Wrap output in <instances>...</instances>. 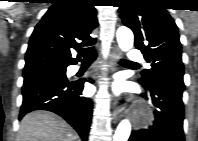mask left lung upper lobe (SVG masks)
Returning a JSON list of instances; mask_svg holds the SVG:
<instances>
[{
  "instance_id": "5c2ea615",
  "label": "left lung upper lobe",
  "mask_w": 198,
  "mask_h": 141,
  "mask_svg": "<svg viewBox=\"0 0 198 141\" xmlns=\"http://www.w3.org/2000/svg\"><path fill=\"white\" fill-rule=\"evenodd\" d=\"M119 11L123 24L134 32L136 48L151 63V69L142 72L140 83L148 88L159 78L183 82L178 29L162 1L125 0Z\"/></svg>"
}]
</instances>
